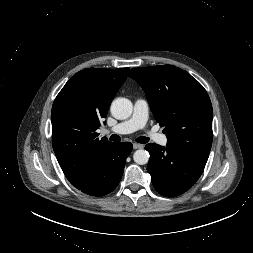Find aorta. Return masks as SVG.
Segmentation results:
<instances>
[{
  "instance_id": "1",
  "label": "aorta",
  "mask_w": 253,
  "mask_h": 253,
  "mask_svg": "<svg viewBox=\"0 0 253 253\" xmlns=\"http://www.w3.org/2000/svg\"><path fill=\"white\" fill-rule=\"evenodd\" d=\"M110 110L114 118L125 120L131 116L133 105L131 101L126 98H117L112 102ZM133 160L139 165H145L148 163L149 153L144 149L136 150L133 154Z\"/></svg>"
}]
</instances>
